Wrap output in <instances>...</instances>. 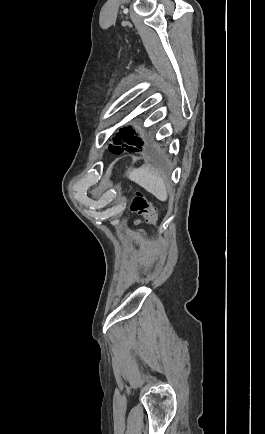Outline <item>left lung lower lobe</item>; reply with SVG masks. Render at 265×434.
Returning <instances> with one entry per match:
<instances>
[{"label": "left lung lower lobe", "instance_id": "obj_1", "mask_svg": "<svg viewBox=\"0 0 265 434\" xmlns=\"http://www.w3.org/2000/svg\"><path fill=\"white\" fill-rule=\"evenodd\" d=\"M141 145H143V142L140 140V138L133 137L122 148H119V149L109 148V150L115 154H121L124 151L139 152L142 149Z\"/></svg>", "mask_w": 265, "mask_h": 434}]
</instances>
